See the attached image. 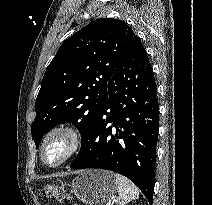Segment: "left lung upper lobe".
I'll list each match as a JSON object with an SVG mask.
<instances>
[{
  "label": "left lung upper lobe",
  "mask_w": 212,
  "mask_h": 205,
  "mask_svg": "<svg viewBox=\"0 0 212 205\" xmlns=\"http://www.w3.org/2000/svg\"><path fill=\"white\" fill-rule=\"evenodd\" d=\"M135 33L127 23L102 18L69 37L44 74L31 133L36 147L61 123L74 124L86 143L108 99V82Z\"/></svg>",
  "instance_id": "1"
}]
</instances>
